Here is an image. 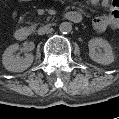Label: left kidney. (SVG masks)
I'll list each match as a JSON object with an SVG mask.
<instances>
[{
  "label": "left kidney",
  "instance_id": "obj_1",
  "mask_svg": "<svg viewBox=\"0 0 119 119\" xmlns=\"http://www.w3.org/2000/svg\"><path fill=\"white\" fill-rule=\"evenodd\" d=\"M90 58L102 65L114 62V54L111 45L102 38H93L88 42ZM104 52H102V50Z\"/></svg>",
  "mask_w": 119,
  "mask_h": 119
}]
</instances>
